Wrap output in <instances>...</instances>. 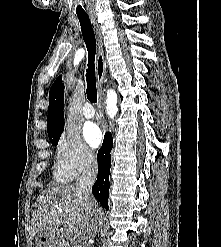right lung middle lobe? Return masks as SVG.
I'll list each match as a JSON object with an SVG mask.
<instances>
[{
  "instance_id": "1",
  "label": "right lung middle lobe",
  "mask_w": 221,
  "mask_h": 247,
  "mask_svg": "<svg viewBox=\"0 0 221 247\" xmlns=\"http://www.w3.org/2000/svg\"><path fill=\"white\" fill-rule=\"evenodd\" d=\"M60 135L54 137V138H50V142L52 143V145L56 146L58 144Z\"/></svg>"
}]
</instances>
